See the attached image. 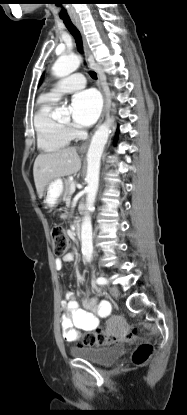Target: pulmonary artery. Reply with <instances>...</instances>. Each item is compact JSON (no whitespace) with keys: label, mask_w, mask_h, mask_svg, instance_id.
<instances>
[{"label":"pulmonary artery","mask_w":187,"mask_h":415,"mask_svg":"<svg viewBox=\"0 0 187 415\" xmlns=\"http://www.w3.org/2000/svg\"><path fill=\"white\" fill-rule=\"evenodd\" d=\"M85 86V78L81 73H74L54 84L47 96L53 100L59 98L62 93L80 90Z\"/></svg>","instance_id":"obj_1"}]
</instances>
